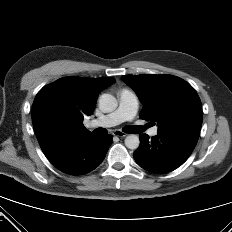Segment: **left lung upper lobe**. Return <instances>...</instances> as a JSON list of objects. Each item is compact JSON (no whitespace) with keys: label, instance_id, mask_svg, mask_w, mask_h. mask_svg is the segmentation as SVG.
<instances>
[{"label":"left lung upper lobe","instance_id":"left-lung-upper-lobe-1","mask_svg":"<svg viewBox=\"0 0 232 232\" xmlns=\"http://www.w3.org/2000/svg\"><path fill=\"white\" fill-rule=\"evenodd\" d=\"M121 78L136 92L144 105L140 118L157 121L158 131L200 132L201 101L188 82L172 75H123Z\"/></svg>","mask_w":232,"mask_h":232}]
</instances>
